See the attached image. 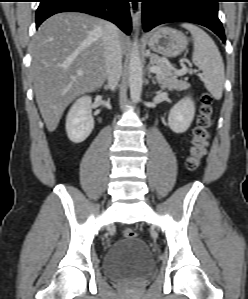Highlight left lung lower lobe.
I'll return each instance as SVG.
<instances>
[{"label":"left lung lower lobe","instance_id":"obj_1","mask_svg":"<svg viewBox=\"0 0 248 299\" xmlns=\"http://www.w3.org/2000/svg\"><path fill=\"white\" fill-rule=\"evenodd\" d=\"M218 1L143 0L144 31L164 23L191 22L209 28L225 42L224 29L218 18Z\"/></svg>","mask_w":248,"mask_h":299}]
</instances>
